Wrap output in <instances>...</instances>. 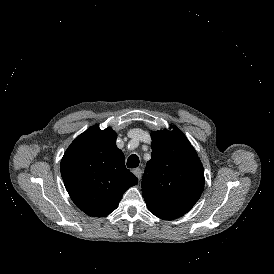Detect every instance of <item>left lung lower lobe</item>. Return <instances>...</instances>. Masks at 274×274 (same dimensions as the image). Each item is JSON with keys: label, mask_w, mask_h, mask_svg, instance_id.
Instances as JSON below:
<instances>
[{"label": "left lung lower lobe", "mask_w": 274, "mask_h": 274, "mask_svg": "<svg viewBox=\"0 0 274 274\" xmlns=\"http://www.w3.org/2000/svg\"><path fill=\"white\" fill-rule=\"evenodd\" d=\"M149 210L157 217L161 218V219H165V220H172V219H176L178 217H181L183 214L179 213V212H175V211H171V210H167L163 207H159V206H154L151 205L150 203L146 202Z\"/></svg>", "instance_id": "obj_1"}]
</instances>
